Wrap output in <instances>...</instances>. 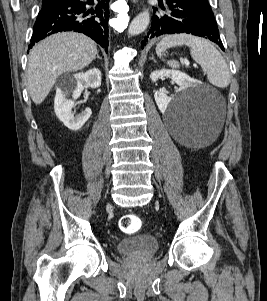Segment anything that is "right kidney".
<instances>
[{
    "instance_id": "obj_1",
    "label": "right kidney",
    "mask_w": 267,
    "mask_h": 301,
    "mask_svg": "<svg viewBox=\"0 0 267 301\" xmlns=\"http://www.w3.org/2000/svg\"><path fill=\"white\" fill-rule=\"evenodd\" d=\"M101 86V72L97 68L90 69L85 73L74 74L68 84H63L56 91L54 110L59 120L70 130H79L90 118L92 111L86 108L81 114L74 116L72 108L84 88H98ZM72 93L73 99H68Z\"/></svg>"
}]
</instances>
